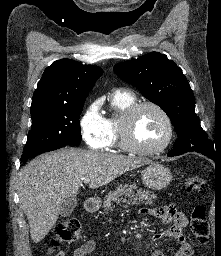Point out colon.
Segmentation results:
<instances>
[{
	"label": "colon",
	"mask_w": 221,
	"mask_h": 256,
	"mask_svg": "<svg viewBox=\"0 0 221 256\" xmlns=\"http://www.w3.org/2000/svg\"><path fill=\"white\" fill-rule=\"evenodd\" d=\"M205 181L201 176L193 175L186 179L185 189L188 192H201ZM192 234L200 245H205L209 240V225L206 210L202 205H196L191 213L190 223ZM81 224L77 218H69L61 222L54 231L51 243L54 247L60 243H73L80 239Z\"/></svg>",
	"instance_id": "5ec220e1"
}]
</instances>
